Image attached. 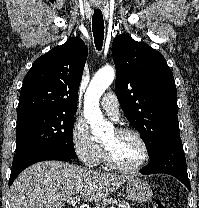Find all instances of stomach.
I'll return each mask as SVG.
<instances>
[{"label":"stomach","instance_id":"0dacf381","mask_svg":"<svg viewBox=\"0 0 199 208\" xmlns=\"http://www.w3.org/2000/svg\"><path fill=\"white\" fill-rule=\"evenodd\" d=\"M126 192L129 199L138 203L148 201L153 195L150 185L140 179L128 180Z\"/></svg>","mask_w":199,"mask_h":208}]
</instances>
